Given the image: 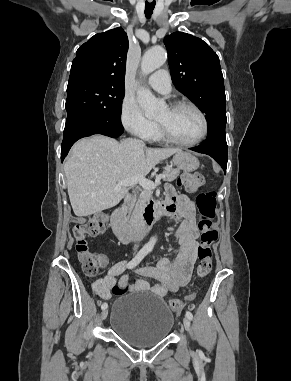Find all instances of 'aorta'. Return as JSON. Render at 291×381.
Returning a JSON list of instances; mask_svg holds the SVG:
<instances>
[{
    "instance_id": "1",
    "label": "aorta",
    "mask_w": 291,
    "mask_h": 381,
    "mask_svg": "<svg viewBox=\"0 0 291 381\" xmlns=\"http://www.w3.org/2000/svg\"><path fill=\"white\" fill-rule=\"evenodd\" d=\"M167 58L164 48L154 47L148 50L142 57L141 71L144 75H148L161 67ZM137 101L143 109L147 118L156 117L164 107V102L158 100L148 89L140 88L137 91ZM156 243V238L153 237L147 243V247L152 249Z\"/></svg>"
}]
</instances>
